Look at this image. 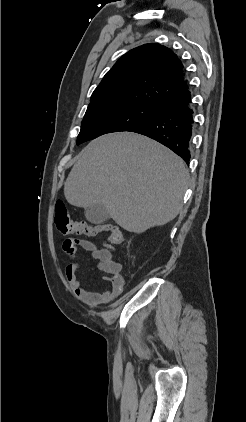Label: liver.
<instances>
[{"instance_id":"1","label":"liver","mask_w":246,"mask_h":422,"mask_svg":"<svg viewBox=\"0 0 246 422\" xmlns=\"http://www.w3.org/2000/svg\"><path fill=\"white\" fill-rule=\"evenodd\" d=\"M188 181L184 161L170 149L143 135L119 132L82 150L64 195L73 206L103 205L120 227L140 234L179 214Z\"/></svg>"}]
</instances>
